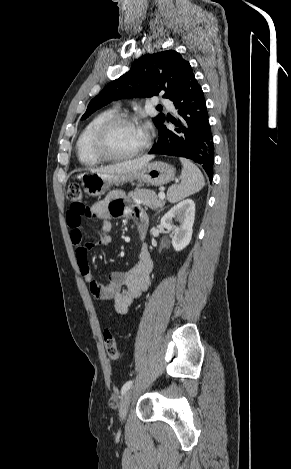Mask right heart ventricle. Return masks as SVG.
Here are the masks:
<instances>
[{
    "mask_svg": "<svg viewBox=\"0 0 291 469\" xmlns=\"http://www.w3.org/2000/svg\"><path fill=\"white\" fill-rule=\"evenodd\" d=\"M116 114V109H106L95 115L85 125L76 142L77 157L82 165L93 167L104 161V159L97 154L94 147L95 133L103 122Z\"/></svg>",
    "mask_w": 291,
    "mask_h": 469,
    "instance_id": "obj_1",
    "label": "right heart ventricle"
}]
</instances>
